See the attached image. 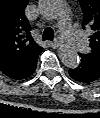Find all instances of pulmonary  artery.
I'll use <instances>...</instances> for the list:
<instances>
[{
    "mask_svg": "<svg viewBox=\"0 0 100 118\" xmlns=\"http://www.w3.org/2000/svg\"><path fill=\"white\" fill-rule=\"evenodd\" d=\"M59 32L63 39L69 42L77 51H84L87 47L82 33L75 29L69 21V14L64 13V18L58 24Z\"/></svg>",
    "mask_w": 100,
    "mask_h": 118,
    "instance_id": "obj_1",
    "label": "pulmonary artery"
}]
</instances>
